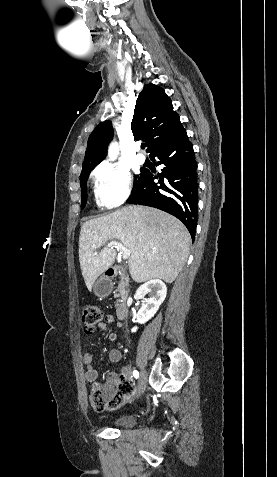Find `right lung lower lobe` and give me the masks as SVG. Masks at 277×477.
Instances as JSON below:
<instances>
[{
	"instance_id": "obj_1",
	"label": "right lung lower lobe",
	"mask_w": 277,
	"mask_h": 477,
	"mask_svg": "<svg viewBox=\"0 0 277 477\" xmlns=\"http://www.w3.org/2000/svg\"><path fill=\"white\" fill-rule=\"evenodd\" d=\"M157 157V165H164L161 173L148 169L133 188L127 202L155 207L180 219L195 239L197 226L198 182L192 143L184 128L150 152ZM154 179H159L158 183Z\"/></svg>"
}]
</instances>
